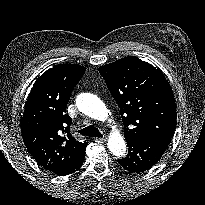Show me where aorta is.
I'll use <instances>...</instances> for the list:
<instances>
[{"label": "aorta", "instance_id": "1", "mask_svg": "<svg viewBox=\"0 0 205 205\" xmlns=\"http://www.w3.org/2000/svg\"><path fill=\"white\" fill-rule=\"evenodd\" d=\"M75 104L78 110L85 115L103 119L106 115V107L103 102L91 93H80L76 96ZM108 148L115 158H123L126 156V143L118 135H113L108 141Z\"/></svg>", "mask_w": 205, "mask_h": 205}]
</instances>
